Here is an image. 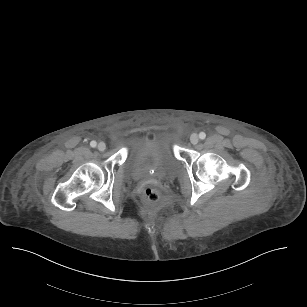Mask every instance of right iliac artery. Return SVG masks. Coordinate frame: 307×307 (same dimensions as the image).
I'll return each mask as SVG.
<instances>
[{
  "instance_id": "right-iliac-artery-1",
  "label": "right iliac artery",
  "mask_w": 307,
  "mask_h": 307,
  "mask_svg": "<svg viewBox=\"0 0 307 307\" xmlns=\"http://www.w3.org/2000/svg\"><path fill=\"white\" fill-rule=\"evenodd\" d=\"M96 145H97L96 141H91V142H90V146H91V147H96Z\"/></svg>"
}]
</instances>
